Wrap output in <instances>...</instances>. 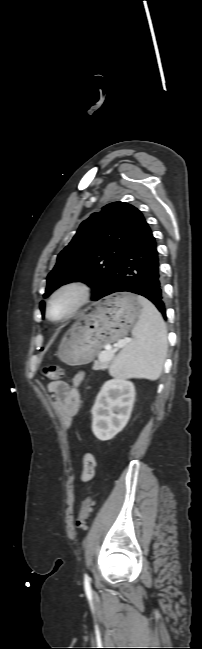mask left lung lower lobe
Wrapping results in <instances>:
<instances>
[{
	"instance_id": "1",
	"label": "left lung lower lobe",
	"mask_w": 202,
	"mask_h": 649,
	"mask_svg": "<svg viewBox=\"0 0 202 649\" xmlns=\"http://www.w3.org/2000/svg\"><path fill=\"white\" fill-rule=\"evenodd\" d=\"M123 291L146 297L167 319L156 242L145 220L126 243L108 283L96 300Z\"/></svg>"
}]
</instances>
